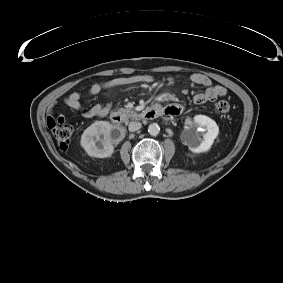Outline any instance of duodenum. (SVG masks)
<instances>
[{"mask_svg": "<svg viewBox=\"0 0 283 283\" xmlns=\"http://www.w3.org/2000/svg\"><path fill=\"white\" fill-rule=\"evenodd\" d=\"M163 113V110L161 107L159 106H152L151 108L145 110L144 112H142L140 115H138L137 117L142 118L144 120H150L156 117L161 116ZM125 119V116L119 112H112L110 114V121L117 126L122 125L123 121Z\"/></svg>", "mask_w": 283, "mask_h": 283, "instance_id": "1", "label": "duodenum"}]
</instances>
